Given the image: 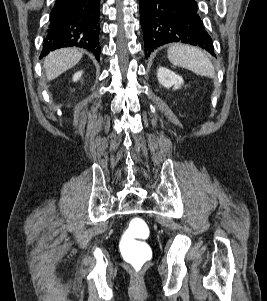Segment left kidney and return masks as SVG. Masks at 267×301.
<instances>
[{
    "instance_id": "1",
    "label": "left kidney",
    "mask_w": 267,
    "mask_h": 301,
    "mask_svg": "<svg viewBox=\"0 0 267 301\" xmlns=\"http://www.w3.org/2000/svg\"><path fill=\"white\" fill-rule=\"evenodd\" d=\"M157 78L159 83L165 88L173 87L174 89H178L183 84V78L181 76L165 67H159L157 70Z\"/></svg>"
}]
</instances>
